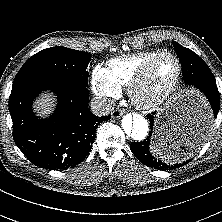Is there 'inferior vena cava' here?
Returning a JSON list of instances; mask_svg holds the SVG:
<instances>
[{
	"label": "inferior vena cava",
	"instance_id": "obj_1",
	"mask_svg": "<svg viewBox=\"0 0 222 222\" xmlns=\"http://www.w3.org/2000/svg\"><path fill=\"white\" fill-rule=\"evenodd\" d=\"M91 111L98 116L108 115L114 109V102L110 99L94 98L91 101Z\"/></svg>",
	"mask_w": 222,
	"mask_h": 222
}]
</instances>
